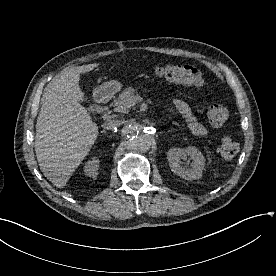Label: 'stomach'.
<instances>
[{
  "mask_svg": "<svg viewBox=\"0 0 276 276\" xmlns=\"http://www.w3.org/2000/svg\"><path fill=\"white\" fill-rule=\"evenodd\" d=\"M122 85L120 82L112 80L94 89V96L97 98L109 97L120 91Z\"/></svg>",
  "mask_w": 276,
  "mask_h": 276,
  "instance_id": "0dacf381",
  "label": "stomach"
}]
</instances>
